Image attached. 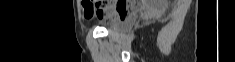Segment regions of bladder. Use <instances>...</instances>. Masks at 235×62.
I'll return each mask as SVG.
<instances>
[{"label": "bladder", "instance_id": "1", "mask_svg": "<svg viewBox=\"0 0 235 62\" xmlns=\"http://www.w3.org/2000/svg\"><path fill=\"white\" fill-rule=\"evenodd\" d=\"M137 21V14L132 13L128 15L125 19L120 21L112 22L106 26L109 31H126L131 28Z\"/></svg>", "mask_w": 235, "mask_h": 62}]
</instances>
